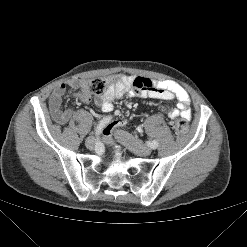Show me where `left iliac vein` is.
I'll return each instance as SVG.
<instances>
[{
  "instance_id": "4c4485c4",
  "label": "left iliac vein",
  "mask_w": 247,
  "mask_h": 247,
  "mask_svg": "<svg viewBox=\"0 0 247 247\" xmlns=\"http://www.w3.org/2000/svg\"><path fill=\"white\" fill-rule=\"evenodd\" d=\"M115 137L118 139L119 142L130 148L137 155L148 156L152 152V149L150 147L144 145L140 140L132 137L124 131L117 130L115 132Z\"/></svg>"
}]
</instances>
